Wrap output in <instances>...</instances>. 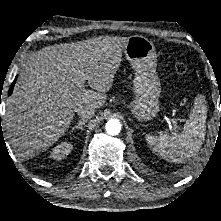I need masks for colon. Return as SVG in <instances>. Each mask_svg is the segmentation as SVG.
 Wrapping results in <instances>:
<instances>
[{"label": "colon", "mask_w": 221, "mask_h": 221, "mask_svg": "<svg viewBox=\"0 0 221 221\" xmlns=\"http://www.w3.org/2000/svg\"><path fill=\"white\" fill-rule=\"evenodd\" d=\"M176 71L180 74V75H187L189 72V67L187 65V63L183 62V61H179L176 64Z\"/></svg>", "instance_id": "obj_1"}]
</instances>
